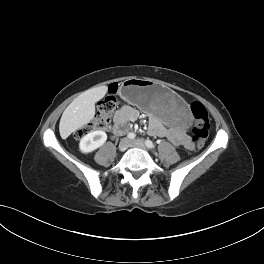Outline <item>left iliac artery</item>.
<instances>
[{"mask_svg": "<svg viewBox=\"0 0 264 264\" xmlns=\"http://www.w3.org/2000/svg\"><path fill=\"white\" fill-rule=\"evenodd\" d=\"M145 145L148 147V148H150V149H153V148H155V145H154V143L151 141V140H145Z\"/></svg>", "mask_w": 264, "mask_h": 264, "instance_id": "obj_1", "label": "left iliac artery"}]
</instances>
